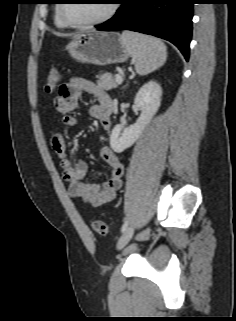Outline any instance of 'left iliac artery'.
Masks as SVG:
<instances>
[{"label": "left iliac artery", "mask_w": 236, "mask_h": 321, "mask_svg": "<svg viewBox=\"0 0 236 321\" xmlns=\"http://www.w3.org/2000/svg\"><path fill=\"white\" fill-rule=\"evenodd\" d=\"M127 227H128V222L125 221L122 228H121V231L124 232L127 229Z\"/></svg>", "instance_id": "1"}]
</instances>
